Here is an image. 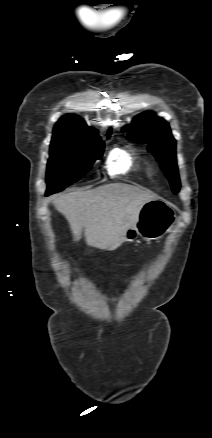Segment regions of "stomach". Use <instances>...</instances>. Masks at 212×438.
<instances>
[{
  "label": "stomach",
  "instance_id": "0dacf381",
  "mask_svg": "<svg viewBox=\"0 0 212 438\" xmlns=\"http://www.w3.org/2000/svg\"><path fill=\"white\" fill-rule=\"evenodd\" d=\"M175 221L176 215L166 202L151 200L142 206L137 222L125 234V241L133 242L137 236L146 241L159 240L171 231Z\"/></svg>",
  "mask_w": 212,
  "mask_h": 438
}]
</instances>
